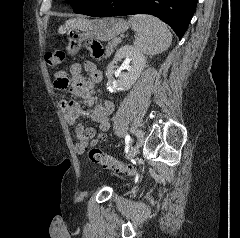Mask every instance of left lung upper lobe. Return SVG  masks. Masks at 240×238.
<instances>
[{
	"label": "left lung upper lobe",
	"mask_w": 240,
	"mask_h": 238,
	"mask_svg": "<svg viewBox=\"0 0 240 238\" xmlns=\"http://www.w3.org/2000/svg\"><path fill=\"white\" fill-rule=\"evenodd\" d=\"M95 1L96 0H68L74 11L78 13L92 5Z\"/></svg>",
	"instance_id": "1"
}]
</instances>
